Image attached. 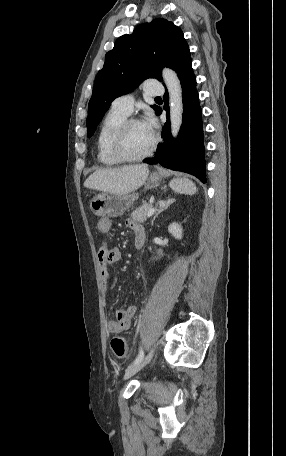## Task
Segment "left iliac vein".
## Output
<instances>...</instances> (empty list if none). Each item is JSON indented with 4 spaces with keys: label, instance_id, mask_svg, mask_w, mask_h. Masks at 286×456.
Instances as JSON below:
<instances>
[{
    "label": "left iliac vein",
    "instance_id": "1",
    "mask_svg": "<svg viewBox=\"0 0 286 456\" xmlns=\"http://www.w3.org/2000/svg\"><path fill=\"white\" fill-rule=\"evenodd\" d=\"M154 350H155V348L153 347L142 361H140L137 364H133V365L129 366L125 371L124 380L132 377L134 374H136L138 371H140L143 367H145L151 361L153 354H154Z\"/></svg>",
    "mask_w": 286,
    "mask_h": 456
}]
</instances>
